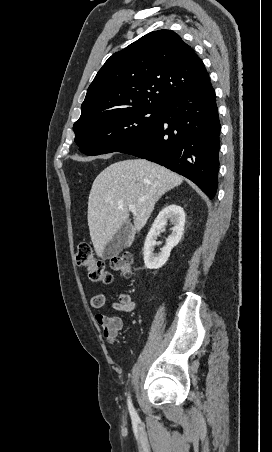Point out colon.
Masks as SVG:
<instances>
[{"instance_id": "colon-1", "label": "colon", "mask_w": 272, "mask_h": 452, "mask_svg": "<svg viewBox=\"0 0 272 452\" xmlns=\"http://www.w3.org/2000/svg\"><path fill=\"white\" fill-rule=\"evenodd\" d=\"M76 264L88 271L91 281L102 284L112 282V274L105 268L104 263L96 259L90 244L83 242L78 245ZM111 266L122 275L130 276L133 271L132 257L130 254L118 256L112 260Z\"/></svg>"}]
</instances>
